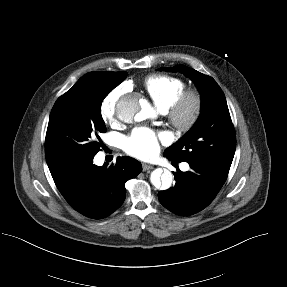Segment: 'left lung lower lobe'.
<instances>
[{"instance_id": "obj_1", "label": "left lung lower lobe", "mask_w": 287, "mask_h": 287, "mask_svg": "<svg viewBox=\"0 0 287 287\" xmlns=\"http://www.w3.org/2000/svg\"><path fill=\"white\" fill-rule=\"evenodd\" d=\"M187 163L191 171L173 173L175 185L158 193L160 203L181 216L193 215L208 206L227 178V174L202 163Z\"/></svg>"}]
</instances>
